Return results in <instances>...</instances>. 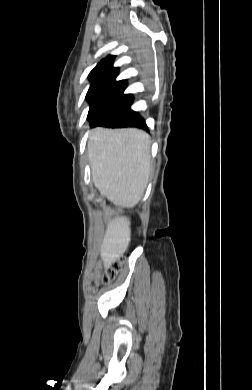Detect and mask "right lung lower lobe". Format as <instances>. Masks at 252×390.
<instances>
[{
    "label": "right lung lower lobe",
    "instance_id": "1",
    "mask_svg": "<svg viewBox=\"0 0 252 390\" xmlns=\"http://www.w3.org/2000/svg\"><path fill=\"white\" fill-rule=\"evenodd\" d=\"M103 127L121 128V127H137L148 130L147 125L142 117L130 109L124 111L118 116L112 118L108 122L101 125Z\"/></svg>",
    "mask_w": 252,
    "mask_h": 390
}]
</instances>
